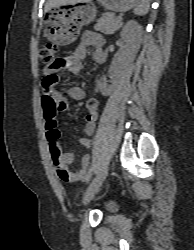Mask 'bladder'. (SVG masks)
<instances>
[{"label":"bladder","mask_w":194,"mask_h":250,"mask_svg":"<svg viewBox=\"0 0 194 250\" xmlns=\"http://www.w3.org/2000/svg\"><path fill=\"white\" fill-rule=\"evenodd\" d=\"M113 206H112V204H108L107 206H106V209H111Z\"/></svg>","instance_id":"31cf9c89"}]
</instances>
